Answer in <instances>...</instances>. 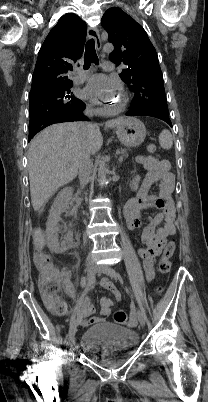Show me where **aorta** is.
Here are the masks:
<instances>
[{"label": "aorta", "instance_id": "1", "mask_svg": "<svg viewBox=\"0 0 208 402\" xmlns=\"http://www.w3.org/2000/svg\"><path fill=\"white\" fill-rule=\"evenodd\" d=\"M99 166H100V169H99V171H98V176H99L100 178H99L98 185L100 186L99 194H102V192H103V186L105 185V182H104V178H103V177H104L105 174H106V169H105V168H102V162H100Z\"/></svg>", "mask_w": 208, "mask_h": 402}]
</instances>
